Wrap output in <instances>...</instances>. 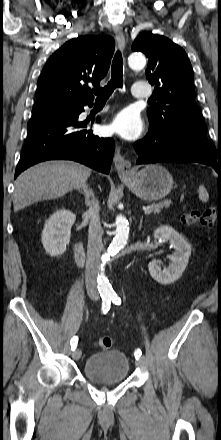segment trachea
<instances>
[{
	"mask_svg": "<svg viewBox=\"0 0 221 440\" xmlns=\"http://www.w3.org/2000/svg\"><path fill=\"white\" fill-rule=\"evenodd\" d=\"M123 87V59L120 51H117L111 67V80L104 88L93 89L97 99H107L116 88Z\"/></svg>",
	"mask_w": 221,
	"mask_h": 440,
	"instance_id": "obj_1",
	"label": "trachea"
}]
</instances>
